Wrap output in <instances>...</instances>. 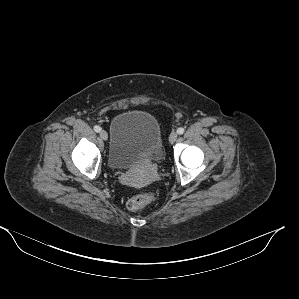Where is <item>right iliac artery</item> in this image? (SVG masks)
<instances>
[{"mask_svg":"<svg viewBox=\"0 0 299 299\" xmlns=\"http://www.w3.org/2000/svg\"><path fill=\"white\" fill-rule=\"evenodd\" d=\"M94 131H95V132H100V131H101V128H100L99 126L96 125V126H94Z\"/></svg>","mask_w":299,"mask_h":299,"instance_id":"1","label":"right iliac artery"}]
</instances>
